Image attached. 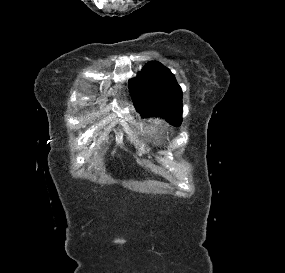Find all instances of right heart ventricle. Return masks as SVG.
Masks as SVG:
<instances>
[{
    "label": "right heart ventricle",
    "mask_w": 285,
    "mask_h": 273,
    "mask_svg": "<svg viewBox=\"0 0 285 273\" xmlns=\"http://www.w3.org/2000/svg\"><path fill=\"white\" fill-rule=\"evenodd\" d=\"M149 132L154 136H159L161 134V127L158 123H152L148 127Z\"/></svg>",
    "instance_id": "1"
}]
</instances>
